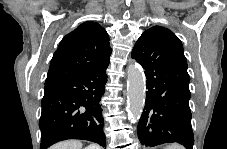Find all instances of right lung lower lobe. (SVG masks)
<instances>
[{
    "instance_id": "1",
    "label": "right lung lower lobe",
    "mask_w": 227,
    "mask_h": 149,
    "mask_svg": "<svg viewBox=\"0 0 227 149\" xmlns=\"http://www.w3.org/2000/svg\"><path fill=\"white\" fill-rule=\"evenodd\" d=\"M108 64L45 88L39 121L40 149L66 139L106 146L99 101L104 94Z\"/></svg>"
}]
</instances>
